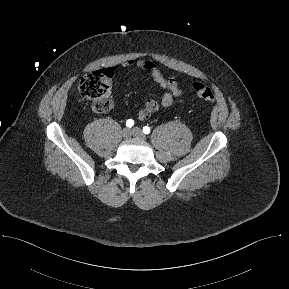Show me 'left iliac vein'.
<instances>
[{
    "label": "left iliac vein",
    "mask_w": 289,
    "mask_h": 289,
    "mask_svg": "<svg viewBox=\"0 0 289 289\" xmlns=\"http://www.w3.org/2000/svg\"><path fill=\"white\" fill-rule=\"evenodd\" d=\"M132 135L134 136V137H137V138H139V139H141V140H144L146 137H145V135H144V133L141 131V129L140 128H138V127H134L133 129H132Z\"/></svg>",
    "instance_id": "obj_1"
}]
</instances>
